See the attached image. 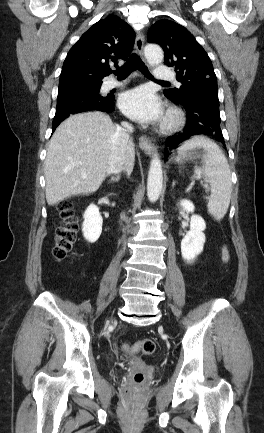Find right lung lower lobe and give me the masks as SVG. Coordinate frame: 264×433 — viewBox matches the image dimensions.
<instances>
[{"mask_svg": "<svg viewBox=\"0 0 264 433\" xmlns=\"http://www.w3.org/2000/svg\"><path fill=\"white\" fill-rule=\"evenodd\" d=\"M102 83H99L101 87ZM98 85V84H94ZM114 95H101L90 90L73 89L68 95L57 97V109L53 119L52 132L69 115L84 111L98 110L102 112L114 111Z\"/></svg>", "mask_w": 264, "mask_h": 433, "instance_id": "98d812e1", "label": "right lung lower lobe"}]
</instances>
